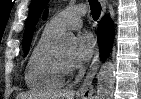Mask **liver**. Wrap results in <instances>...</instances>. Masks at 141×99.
<instances>
[{
    "mask_svg": "<svg viewBox=\"0 0 141 99\" xmlns=\"http://www.w3.org/2000/svg\"><path fill=\"white\" fill-rule=\"evenodd\" d=\"M75 92L72 90H63L49 93H20L17 99H74Z\"/></svg>",
    "mask_w": 141,
    "mask_h": 99,
    "instance_id": "1",
    "label": "liver"
}]
</instances>
